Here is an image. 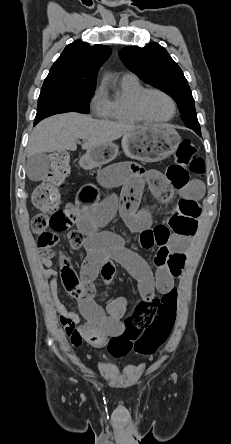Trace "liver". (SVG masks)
<instances>
[{
  "label": "liver",
  "instance_id": "6515ba94",
  "mask_svg": "<svg viewBox=\"0 0 231 444\" xmlns=\"http://www.w3.org/2000/svg\"><path fill=\"white\" fill-rule=\"evenodd\" d=\"M137 126L95 120L75 112L58 114L41 121L30 135L27 156L36 153L75 151L76 140L82 139L86 152L104 146L128 134Z\"/></svg>",
  "mask_w": 231,
  "mask_h": 444
}]
</instances>
